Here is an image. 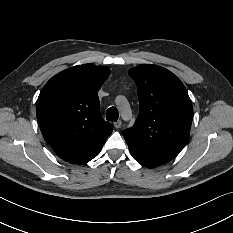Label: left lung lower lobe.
Listing matches in <instances>:
<instances>
[{
	"label": "left lung lower lobe",
	"instance_id": "obj_1",
	"mask_svg": "<svg viewBox=\"0 0 233 233\" xmlns=\"http://www.w3.org/2000/svg\"><path fill=\"white\" fill-rule=\"evenodd\" d=\"M132 157L145 167L153 168L169 162L172 158L147 150L131 141L126 140Z\"/></svg>",
	"mask_w": 233,
	"mask_h": 233
}]
</instances>
